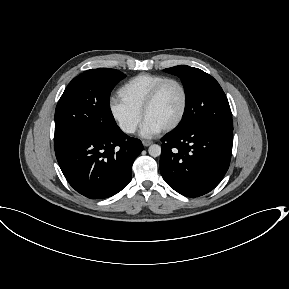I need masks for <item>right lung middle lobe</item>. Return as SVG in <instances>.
Masks as SVG:
<instances>
[{
    "mask_svg": "<svg viewBox=\"0 0 289 289\" xmlns=\"http://www.w3.org/2000/svg\"><path fill=\"white\" fill-rule=\"evenodd\" d=\"M124 77L118 70L98 68L85 71L68 84L55 111V149L84 135L117 127L109 97Z\"/></svg>",
    "mask_w": 289,
    "mask_h": 289,
    "instance_id": "1",
    "label": "right lung middle lobe"
}]
</instances>
